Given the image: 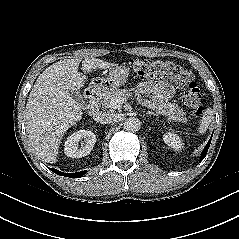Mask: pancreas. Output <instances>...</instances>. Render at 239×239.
<instances>
[{"instance_id": "1", "label": "pancreas", "mask_w": 239, "mask_h": 239, "mask_svg": "<svg viewBox=\"0 0 239 239\" xmlns=\"http://www.w3.org/2000/svg\"><path fill=\"white\" fill-rule=\"evenodd\" d=\"M130 96V92L128 89H114L108 92H105L102 95L101 103L104 107L110 108L111 101L117 97H124ZM146 107L151 108L152 110L157 111L158 113L167 116L170 120L175 122H182L186 123L188 121L186 114L183 112L182 109L175 103H171L167 100H160L157 103H153L151 101H146L144 104Z\"/></svg>"}]
</instances>
